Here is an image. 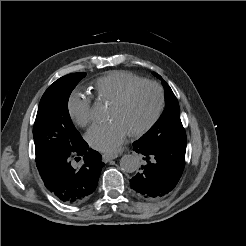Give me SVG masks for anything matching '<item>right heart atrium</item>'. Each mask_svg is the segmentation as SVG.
I'll return each mask as SVG.
<instances>
[{
  "mask_svg": "<svg viewBox=\"0 0 246 246\" xmlns=\"http://www.w3.org/2000/svg\"><path fill=\"white\" fill-rule=\"evenodd\" d=\"M68 113L72 121L81 127L87 126L92 120V99L86 93L74 91L67 103Z\"/></svg>",
  "mask_w": 246,
  "mask_h": 246,
  "instance_id": "obj_1",
  "label": "right heart atrium"
}]
</instances>
